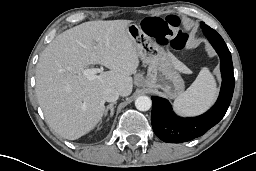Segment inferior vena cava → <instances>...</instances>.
<instances>
[{
    "mask_svg": "<svg viewBox=\"0 0 256 171\" xmlns=\"http://www.w3.org/2000/svg\"><path fill=\"white\" fill-rule=\"evenodd\" d=\"M119 95V92L114 88H106L103 92V98L106 102H115Z\"/></svg>",
    "mask_w": 256,
    "mask_h": 171,
    "instance_id": "inferior-vena-cava-1",
    "label": "inferior vena cava"
}]
</instances>
